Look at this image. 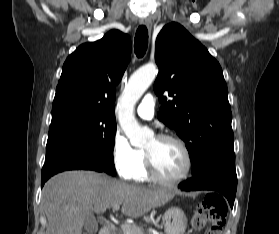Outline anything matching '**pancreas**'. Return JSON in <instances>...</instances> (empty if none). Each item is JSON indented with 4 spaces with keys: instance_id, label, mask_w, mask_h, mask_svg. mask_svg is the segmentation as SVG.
<instances>
[{
    "instance_id": "pancreas-1",
    "label": "pancreas",
    "mask_w": 279,
    "mask_h": 234,
    "mask_svg": "<svg viewBox=\"0 0 279 234\" xmlns=\"http://www.w3.org/2000/svg\"><path fill=\"white\" fill-rule=\"evenodd\" d=\"M131 228V231L129 232V234H144L143 233V229L140 226L137 225H129ZM117 234H128L126 231H120ZM158 234H162V233H158Z\"/></svg>"
}]
</instances>
